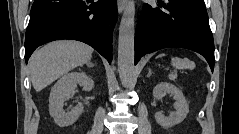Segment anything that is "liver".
Segmentation results:
<instances>
[{"label": "liver", "mask_w": 239, "mask_h": 134, "mask_svg": "<svg viewBox=\"0 0 239 134\" xmlns=\"http://www.w3.org/2000/svg\"><path fill=\"white\" fill-rule=\"evenodd\" d=\"M93 48L82 42L61 40L36 50L29 60L34 89L39 92L77 66L91 60Z\"/></svg>", "instance_id": "1"}]
</instances>
